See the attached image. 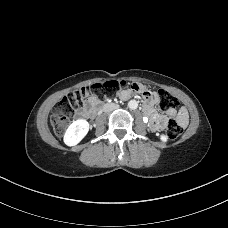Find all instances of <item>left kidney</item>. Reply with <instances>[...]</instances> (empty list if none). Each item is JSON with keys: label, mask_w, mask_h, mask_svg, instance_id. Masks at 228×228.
Instances as JSON below:
<instances>
[{"label": "left kidney", "mask_w": 228, "mask_h": 228, "mask_svg": "<svg viewBox=\"0 0 228 228\" xmlns=\"http://www.w3.org/2000/svg\"><path fill=\"white\" fill-rule=\"evenodd\" d=\"M160 139L161 141L166 142L168 138L166 135H161Z\"/></svg>", "instance_id": "1"}]
</instances>
